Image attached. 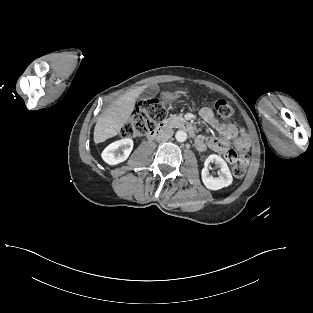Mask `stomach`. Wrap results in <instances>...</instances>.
<instances>
[{"label":"stomach","instance_id":"stomach-1","mask_svg":"<svg viewBox=\"0 0 313 313\" xmlns=\"http://www.w3.org/2000/svg\"><path fill=\"white\" fill-rule=\"evenodd\" d=\"M163 98L166 100H175L177 98V95L172 93H166L163 95Z\"/></svg>","mask_w":313,"mask_h":313}]
</instances>
